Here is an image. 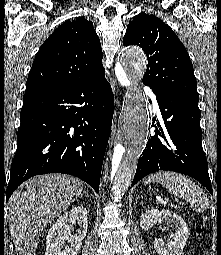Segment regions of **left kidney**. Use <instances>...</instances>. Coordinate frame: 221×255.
I'll return each mask as SVG.
<instances>
[{
    "label": "left kidney",
    "mask_w": 221,
    "mask_h": 255,
    "mask_svg": "<svg viewBox=\"0 0 221 255\" xmlns=\"http://www.w3.org/2000/svg\"><path fill=\"white\" fill-rule=\"evenodd\" d=\"M165 221L167 228L171 231V240L165 243L162 239L154 242V248L159 255H182L183 249L188 239V228L181 216L169 211L151 209L141 215L140 226L144 230H149L157 222Z\"/></svg>",
    "instance_id": "5707ae66"
}]
</instances>
